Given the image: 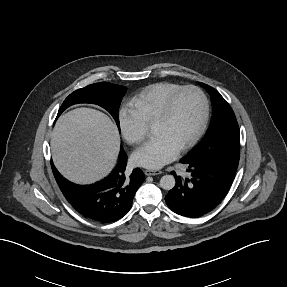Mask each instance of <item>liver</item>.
Instances as JSON below:
<instances>
[{
  "mask_svg": "<svg viewBox=\"0 0 287 287\" xmlns=\"http://www.w3.org/2000/svg\"><path fill=\"white\" fill-rule=\"evenodd\" d=\"M120 137L112 120L91 108H77L62 115L51 139L54 165L68 180L90 184L114 167Z\"/></svg>",
  "mask_w": 287,
  "mask_h": 287,
  "instance_id": "1",
  "label": "liver"
}]
</instances>
